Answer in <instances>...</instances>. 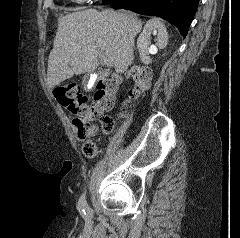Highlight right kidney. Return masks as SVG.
<instances>
[{"label":"right kidney","instance_id":"obj_1","mask_svg":"<svg viewBox=\"0 0 240 238\" xmlns=\"http://www.w3.org/2000/svg\"><path fill=\"white\" fill-rule=\"evenodd\" d=\"M157 34L156 45L159 49H164L168 44V33L165 25L156 18L149 20L144 26L143 32L139 35L137 39V47L140 53L141 62L145 65L151 63V58L147 55V48L149 45V40L151 38V33ZM150 53H156V47L149 48Z\"/></svg>","mask_w":240,"mask_h":238}]
</instances>
